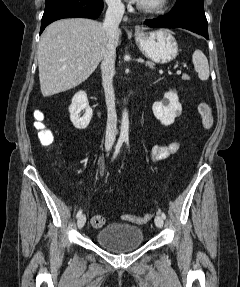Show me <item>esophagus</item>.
<instances>
[{"mask_svg": "<svg viewBox=\"0 0 240 287\" xmlns=\"http://www.w3.org/2000/svg\"><path fill=\"white\" fill-rule=\"evenodd\" d=\"M140 31H141L140 27H139V26H136V27H135V32H136V33H140Z\"/></svg>", "mask_w": 240, "mask_h": 287, "instance_id": "34e87169", "label": "esophagus"}]
</instances>
